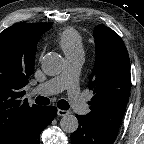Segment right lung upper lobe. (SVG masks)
Returning <instances> with one entry per match:
<instances>
[{
    "label": "right lung upper lobe",
    "mask_w": 144,
    "mask_h": 144,
    "mask_svg": "<svg viewBox=\"0 0 144 144\" xmlns=\"http://www.w3.org/2000/svg\"><path fill=\"white\" fill-rule=\"evenodd\" d=\"M52 23H17L0 33V144L12 142L40 107L23 99L37 43Z\"/></svg>",
    "instance_id": "obj_1"
}]
</instances>
